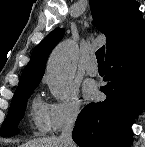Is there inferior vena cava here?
<instances>
[{
    "mask_svg": "<svg viewBox=\"0 0 145 147\" xmlns=\"http://www.w3.org/2000/svg\"><path fill=\"white\" fill-rule=\"evenodd\" d=\"M77 118V112L70 114L66 123L62 128L61 135L59 136V140L63 147H75L74 142L72 140V131Z\"/></svg>",
    "mask_w": 145,
    "mask_h": 147,
    "instance_id": "602c4592",
    "label": "inferior vena cava"
}]
</instances>
